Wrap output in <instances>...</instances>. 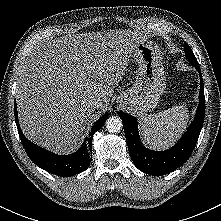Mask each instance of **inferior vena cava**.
Here are the masks:
<instances>
[{"label":"inferior vena cava","mask_w":221,"mask_h":221,"mask_svg":"<svg viewBox=\"0 0 221 221\" xmlns=\"http://www.w3.org/2000/svg\"><path fill=\"white\" fill-rule=\"evenodd\" d=\"M99 106H100L99 100H92V101L89 103V107H90L91 109L98 108Z\"/></svg>","instance_id":"602c4592"}]
</instances>
